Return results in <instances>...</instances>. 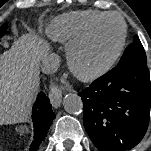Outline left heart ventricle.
<instances>
[{
	"label": "left heart ventricle",
	"instance_id": "left-heart-ventricle-1",
	"mask_svg": "<svg viewBox=\"0 0 151 151\" xmlns=\"http://www.w3.org/2000/svg\"><path fill=\"white\" fill-rule=\"evenodd\" d=\"M122 32L120 22L110 18L102 22L82 54V62L88 67L101 65L117 48Z\"/></svg>",
	"mask_w": 151,
	"mask_h": 151
}]
</instances>
